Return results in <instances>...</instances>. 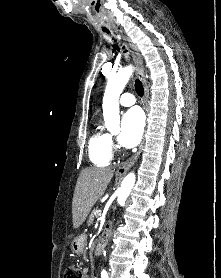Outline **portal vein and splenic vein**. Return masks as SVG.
Listing matches in <instances>:
<instances>
[{
    "label": "portal vein and splenic vein",
    "mask_w": 221,
    "mask_h": 278,
    "mask_svg": "<svg viewBox=\"0 0 221 278\" xmlns=\"http://www.w3.org/2000/svg\"><path fill=\"white\" fill-rule=\"evenodd\" d=\"M101 213H102V210H101V209H99V210L96 211V214H97L98 216H100Z\"/></svg>",
    "instance_id": "portal-vein-and-splenic-vein-1"
}]
</instances>
